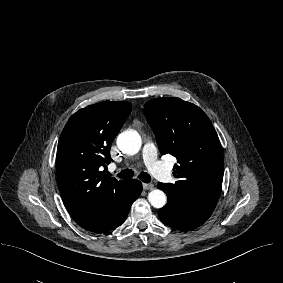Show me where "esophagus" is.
Listing matches in <instances>:
<instances>
[{
    "mask_svg": "<svg viewBox=\"0 0 283 283\" xmlns=\"http://www.w3.org/2000/svg\"><path fill=\"white\" fill-rule=\"evenodd\" d=\"M154 188L153 184H147V183H143V189L144 190H151Z\"/></svg>",
    "mask_w": 283,
    "mask_h": 283,
    "instance_id": "34e87169",
    "label": "esophagus"
}]
</instances>
